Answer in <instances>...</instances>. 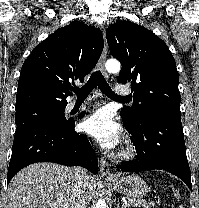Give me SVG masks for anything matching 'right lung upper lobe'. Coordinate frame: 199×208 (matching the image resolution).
Here are the masks:
<instances>
[{"label": "right lung upper lobe", "instance_id": "cb5924a9", "mask_svg": "<svg viewBox=\"0 0 199 208\" xmlns=\"http://www.w3.org/2000/svg\"><path fill=\"white\" fill-rule=\"evenodd\" d=\"M103 50L100 29L79 21L56 30L25 60L18 81L16 108L64 107L71 82H84Z\"/></svg>", "mask_w": 199, "mask_h": 208}]
</instances>
